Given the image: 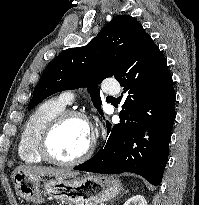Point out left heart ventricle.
I'll return each mask as SVG.
<instances>
[{
  "instance_id": "left-heart-ventricle-1",
  "label": "left heart ventricle",
  "mask_w": 199,
  "mask_h": 205,
  "mask_svg": "<svg viewBox=\"0 0 199 205\" xmlns=\"http://www.w3.org/2000/svg\"><path fill=\"white\" fill-rule=\"evenodd\" d=\"M91 140V130L80 119L64 121L53 133L51 150L61 159H72L80 155Z\"/></svg>"
}]
</instances>
